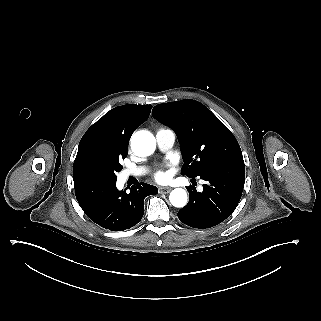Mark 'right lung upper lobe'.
I'll list each match as a JSON object with an SVG mask.
<instances>
[{
    "mask_svg": "<svg viewBox=\"0 0 321 321\" xmlns=\"http://www.w3.org/2000/svg\"><path fill=\"white\" fill-rule=\"evenodd\" d=\"M151 105H123L108 111L84 134L100 133L112 145H128L134 130L150 115ZM73 178L82 176L73 172Z\"/></svg>",
    "mask_w": 321,
    "mask_h": 321,
    "instance_id": "1",
    "label": "right lung upper lobe"
}]
</instances>
